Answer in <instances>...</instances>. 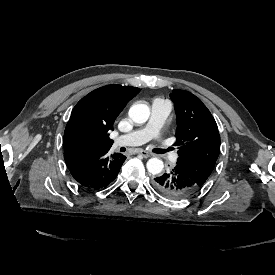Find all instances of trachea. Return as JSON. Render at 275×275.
<instances>
[{"mask_svg": "<svg viewBox=\"0 0 275 275\" xmlns=\"http://www.w3.org/2000/svg\"><path fill=\"white\" fill-rule=\"evenodd\" d=\"M171 150H172L171 147H169L168 149H158L156 153L163 154V153L169 152Z\"/></svg>", "mask_w": 275, "mask_h": 275, "instance_id": "obj_1", "label": "trachea"}]
</instances>
